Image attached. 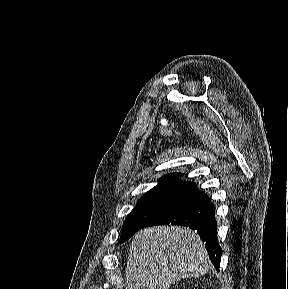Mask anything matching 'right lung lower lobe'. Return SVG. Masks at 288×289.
Instances as JSON below:
<instances>
[{
  "mask_svg": "<svg viewBox=\"0 0 288 289\" xmlns=\"http://www.w3.org/2000/svg\"><path fill=\"white\" fill-rule=\"evenodd\" d=\"M214 210V205L207 194L194 186L187 191L179 202L144 227L172 224L197 230L200 237L205 241V247L211 262L218 270L222 250L217 240V223L214 218Z\"/></svg>",
  "mask_w": 288,
  "mask_h": 289,
  "instance_id": "right-lung-lower-lobe-1",
  "label": "right lung lower lobe"
}]
</instances>
